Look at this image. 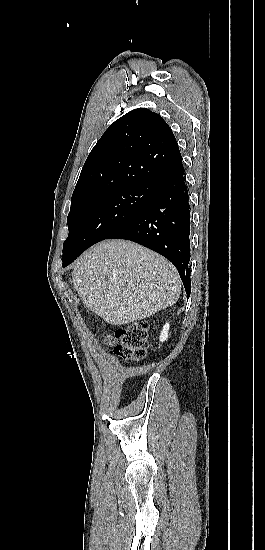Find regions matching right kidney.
I'll return each instance as SVG.
<instances>
[{
	"instance_id": "1",
	"label": "right kidney",
	"mask_w": 265,
	"mask_h": 550,
	"mask_svg": "<svg viewBox=\"0 0 265 550\" xmlns=\"http://www.w3.org/2000/svg\"><path fill=\"white\" fill-rule=\"evenodd\" d=\"M168 331H169V323H166L164 326H163V329L161 331V334H160V341L161 342H164L167 340L168 338Z\"/></svg>"
}]
</instances>
